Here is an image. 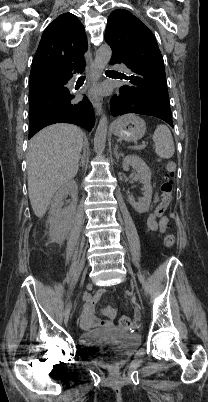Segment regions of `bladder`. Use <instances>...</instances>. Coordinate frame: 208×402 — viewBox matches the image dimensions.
<instances>
[{"mask_svg":"<svg viewBox=\"0 0 208 402\" xmlns=\"http://www.w3.org/2000/svg\"><path fill=\"white\" fill-rule=\"evenodd\" d=\"M141 341L140 335L125 329H101L83 333L81 343L89 354H116L132 352Z\"/></svg>","mask_w":208,"mask_h":402,"instance_id":"bladder-1","label":"bladder"}]
</instances>
